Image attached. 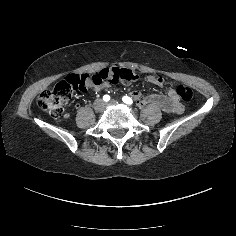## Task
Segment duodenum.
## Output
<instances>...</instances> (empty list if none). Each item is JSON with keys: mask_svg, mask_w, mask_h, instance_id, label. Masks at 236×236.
Returning a JSON list of instances; mask_svg holds the SVG:
<instances>
[{"mask_svg": "<svg viewBox=\"0 0 236 236\" xmlns=\"http://www.w3.org/2000/svg\"><path fill=\"white\" fill-rule=\"evenodd\" d=\"M138 101L141 106L157 103L165 111L176 112L181 110V105L174 99V97L159 96L138 98Z\"/></svg>", "mask_w": 236, "mask_h": 236, "instance_id": "410a0bca", "label": "duodenum"}]
</instances>
